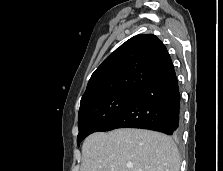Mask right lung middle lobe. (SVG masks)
<instances>
[{
  "instance_id": "right-lung-middle-lobe-1",
  "label": "right lung middle lobe",
  "mask_w": 223,
  "mask_h": 171,
  "mask_svg": "<svg viewBox=\"0 0 223 171\" xmlns=\"http://www.w3.org/2000/svg\"><path fill=\"white\" fill-rule=\"evenodd\" d=\"M137 94L133 92L112 93L96 98L80 107L77 144L79 145L89 134L97 132L102 125L129 104Z\"/></svg>"
}]
</instances>
